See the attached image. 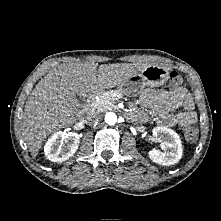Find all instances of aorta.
<instances>
[{"mask_svg": "<svg viewBox=\"0 0 221 221\" xmlns=\"http://www.w3.org/2000/svg\"><path fill=\"white\" fill-rule=\"evenodd\" d=\"M105 122L108 125H115L118 122V117L115 113L113 112H108L105 115Z\"/></svg>", "mask_w": 221, "mask_h": 221, "instance_id": "1", "label": "aorta"}]
</instances>
